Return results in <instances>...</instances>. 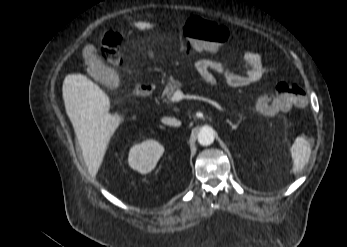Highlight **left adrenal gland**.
Returning <instances> with one entry per match:
<instances>
[{
    "mask_svg": "<svg viewBox=\"0 0 347 247\" xmlns=\"http://www.w3.org/2000/svg\"><path fill=\"white\" fill-rule=\"evenodd\" d=\"M241 121H242V118H240L236 124H233L230 120L228 119L226 120V122L232 127L233 130H236L238 128Z\"/></svg>",
    "mask_w": 347,
    "mask_h": 247,
    "instance_id": "obj_1",
    "label": "left adrenal gland"
}]
</instances>
